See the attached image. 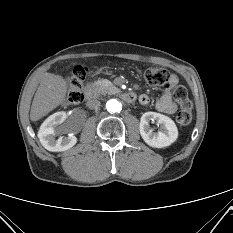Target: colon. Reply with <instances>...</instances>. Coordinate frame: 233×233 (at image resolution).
Listing matches in <instances>:
<instances>
[{"label":"colon","instance_id":"colon-1","mask_svg":"<svg viewBox=\"0 0 233 233\" xmlns=\"http://www.w3.org/2000/svg\"><path fill=\"white\" fill-rule=\"evenodd\" d=\"M146 82L151 86H165L172 98L179 104L180 111L177 116L178 123L186 127L192 120V104L188 97L185 86L176 84L170 85L169 72L162 67H150L144 73ZM86 79V70L83 66L74 68L68 77V92L66 96V105H76L83 101V86Z\"/></svg>","mask_w":233,"mask_h":233}]
</instances>
